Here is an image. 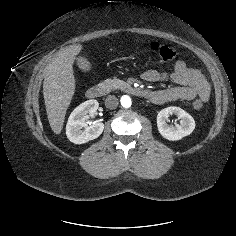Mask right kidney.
Segmentation results:
<instances>
[{
    "mask_svg": "<svg viewBox=\"0 0 236 236\" xmlns=\"http://www.w3.org/2000/svg\"><path fill=\"white\" fill-rule=\"evenodd\" d=\"M97 100H87L77 106L70 114L67 125V138L74 144H83L90 140L98 138L103 130L104 124L93 122L88 125L89 117H93L98 109Z\"/></svg>",
    "mask_w": 236,
    "mask_h": 236,
    "instance_id": "1",
    "label": "right kidney"
}]
</instances>
